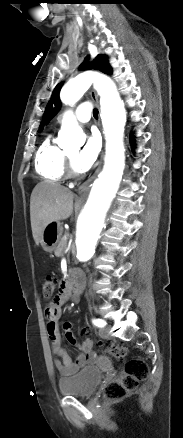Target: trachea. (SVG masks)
<instances>
[{
  "instance_id": "1",
  "label": "trachea",
  "mask_w": 183,
  "mask_h": 438,
  "mask_svg": "<svg viewBox=\"0 0 183 438\" xmlns=\"http://www.w3.org/2000/svg\"><path fill=\"white\" fill-rule=\"evenodd\" d=\"M93 116H94V118H98V110L97 109H94L93 110Z\"/></svg>"
}]
</instances>
